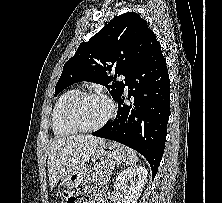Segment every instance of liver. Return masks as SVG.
Instances as JSON below:
<instances>
[{
    "label": "liver",
    "instance_id": "obj_1",
    "mask_svg": "<svg viewBox=\"0 0 222 203\" xmlns=\"http://www.w3.org/2000/svg\"><path fill=\"white\" fill-rule=\"evenodd\" d=\"M105 140L92 135L59 136L50 140L48 153V177L51 189L70 170L89 162L93 152Z\"/></svg>",
    "mask_w": 222,
    "mask_h": 203
}]
</instances>
